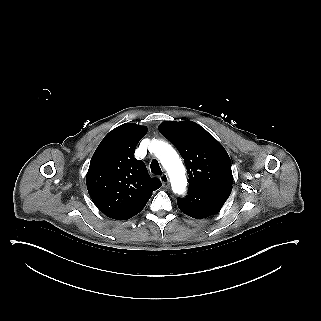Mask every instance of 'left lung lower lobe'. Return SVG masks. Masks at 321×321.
I'll return each instance as SVG.
<instances>
[{
	"instance_id": "1",
	"label": "left lung lower lobe",
	"mask_w": 321,
	"mask_h": 321,
	"mask_svg": "<svg viewBox=\"0 0 321 321\" xmlns=\"http://www.w3.org/2000/svg\"><path fill=\"white\" fill-rule=\"evenodd\" d=\"M232 187L218 186L189 189L185 198H178L179 209L186 215L203 219L217 213L231 193Z\"/></svg>"
}]
</instances>
